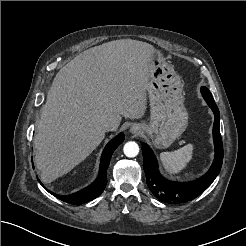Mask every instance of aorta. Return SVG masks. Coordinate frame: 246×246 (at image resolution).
Segmentation results:
<instances>
[{
    "mask_svg": "<svg viewBox=\"0 0 246 246\" xmlns=\"http://www.w3.org/2000/svg\"><path fill=\"white\" fill-rule=\"evenodd\" d=\"M124 154L129 157L133 158L138 155L139 153V146L136 142L134 141H129L125 143L124 148H123Z\"/></svg>",
    "mask_w": 246,
    "mask_h": 246,
    "instance_id": "762f6f07",
    "label": "aorta"
}]
</instances>
